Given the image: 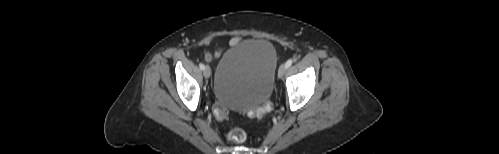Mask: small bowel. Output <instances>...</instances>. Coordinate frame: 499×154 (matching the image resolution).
<instances>
[{
  "label": "small bowel",
  "mask_w": 499,
  "mask_h": 154,
  "mask_svg": "<svg viewBox=\"0 0 499 154\" xmlns=\"http://www.w3.org/2000/svg\"><path fill=\"white\" fill-rule=\"evenodd\" d=\"M241 40H242L241 37H233L230 40L229 44H230L231 47H235V46H237L240 43ZM220 55H221V51H218L213 56L212 55H208L207 56V60L211 61L213 58L217 59V58L220 57Z\"/></svg>",
  "instance_id": "small-bowel-1"
}]
</instances>
